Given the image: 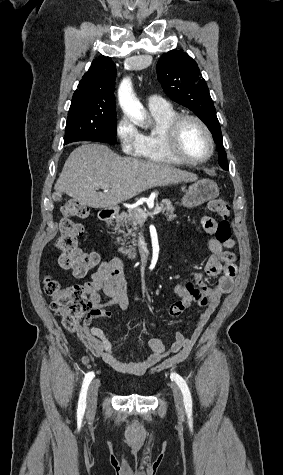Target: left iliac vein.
I'll use <instances>...</instances> for the list:
<instances>
[{
    "label": "left iliac vein",
    "mask_w": 283,
    "mask_h": 475,
    "mask_svg": "<svg viewBox=\"0 0 283 475\" xmlns=\"http://www.w3.org/2000/svg\"><path fill=\"white\" fill-rule=\"evenodd\" d=\"M170 387H171V390L173 392L174 402H175V406L177 408V411H178L179 414H183L184 400H183V395H182L181 389L174 382L170 383Z\"/></svg>",
    "instance_id": "4c4485c4"
}]
</instances>
